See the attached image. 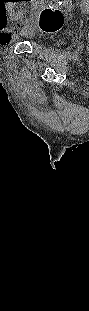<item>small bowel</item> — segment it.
I'll return each mask as SVG.
<instances>
[{
    "label": "small bowel",
    "instance_id": "obj_1",
    "mask_svg": "<svg viewBox=\"0 0 89 311\" xmlns=\"http://www.w3.org/2000/svg\"><path fill=\"white\" fill-rule=\"evenodd\" d=\"M16 39V35L13 33H2L0 35V45L6 46L12 43Z\"/></svg>",
    "mask_w": 89,
    "mask_h": 311
}]
</instances>
